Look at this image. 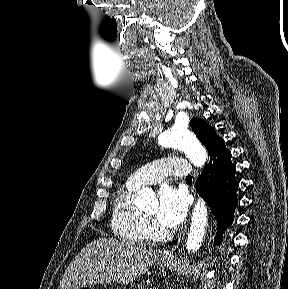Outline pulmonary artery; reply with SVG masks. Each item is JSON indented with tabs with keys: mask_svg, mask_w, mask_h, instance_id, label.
Returning <instances> with one entry per match:
<instances>
[{
	"mask_svg": "<svg viewBox=\"0 0 288 289\" xmlns=\"http://www.w3.org/2000/svg\"><path fill=\"white\" fill-rule=\"evenodd\" d=\"M191 172L192 167L189 162L167 156L142 166L129 177L128 182L141 187L161 182L169 175L187 177Z\"/></svg>",
	"mask_w": 288,
	"mask_h": 289,
	"instance_id": "obj_1",
	"label": "pulmonary artery"
}]
</instances>
